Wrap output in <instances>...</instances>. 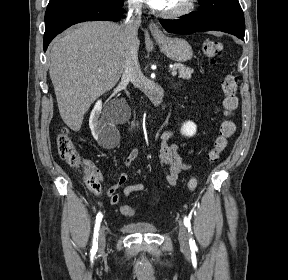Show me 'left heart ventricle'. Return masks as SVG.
Returning a JSON list of instances; mask_svg holds the SVG:
<instances>
[{
	"label": "left heart ventricle",
	"mask_w": 288,
	"mask_h": 280,
	"mask_svg": "<svg viewBox=\"0 0 288 280\" xmlns=\"http://www.w3.org/2000/svg\"><path fill=\"white\" fill-rule=\"evenodd\" d=\"M187 0H167L163 11H173L184 6Z\"/></svg>",
	"instance_id": "b2bd125f"
}]
</instances>
